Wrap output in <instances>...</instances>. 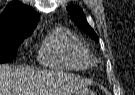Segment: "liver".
<instances>
[{
    "instance_id": "liver-1",
    "label": "liver",
    "mask_w": 135,
    "mask_h": 95,
    "mask_svg": "<svg viewBox=\"0 0 135 95\" xmlns=\"http://www.w3.org/2000/svg\"><path fill=\"white\" fill-rule=\"evenodd\" d=\"M88 85L87 80L60 71L0 64V95H71Z\"/></svg>"
}]
</instances>
